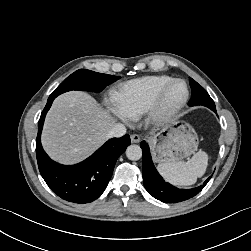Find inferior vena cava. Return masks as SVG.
Wrapping results in <instances>:
<instances>
[{"label":"inferior vena cava","instance_id":"inferior-vena-cava-1","mask_svg":"<svg viewBox=\"0 0 251 251\" xmlns=\"http://www.w3.org/2000/svg\"><path fill=\"white\" fill-rule=\"evenodd\" d=\"M126 134V127L123 124L116 123L108 131L107 138L122 137Z\"/></svg>","mask_w":251,"mask_h":251}]
</instances>
